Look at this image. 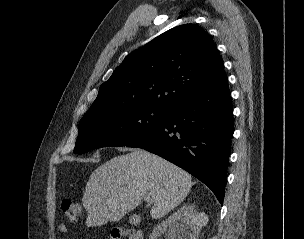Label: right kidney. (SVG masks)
<instances>
[{"mask_svg":"<svg viewBox=\"0 0 304 239\" xmlns=\"http://www.w3.org/2000/svg\"><path fill=\"white\" fill-rule=\"evenodd\" d=\"M203 218L193 205L184 204L154 228L150 239H157L163 232L166 239H198Z\"/></svg>","mask_w":304,"mask_h":239,"instance_id":"1","label":"right kidney"}]
</instances>
